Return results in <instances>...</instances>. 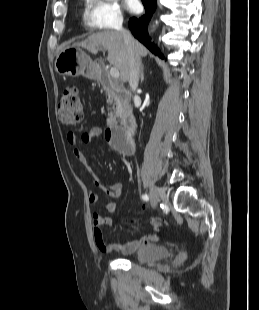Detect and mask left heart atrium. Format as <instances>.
I'll return each mask as SVG.
<instances>
[{
    "instance_id": "1",
    "label": "left heart atrium",
    "mask_w": 259,
    "mask_h": 310,
    "mask_svg": "<svg viewBox=\"0 0 259 310\" xmlns=\"http://www.w3.org/2000/svg\"><path fill=\"white\" fill-rule=\"evenodd\" d=\"M125 6L130 12H137L140 8V3L138 0H124Z\"/></svg>"
}]
</instances>
